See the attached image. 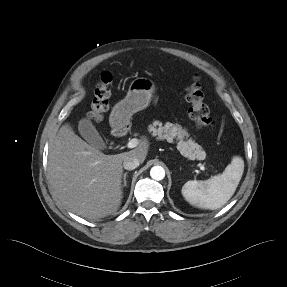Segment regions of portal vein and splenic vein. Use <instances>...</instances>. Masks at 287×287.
<instances>
[{
  "label": "portal vein and splenic vein",
  "mask_w": 287,
  "mask_h": 287,
  "mask_svg": "<svg viewBox=\"0 0 287 287\" xmlns=\"http://www.w3.org/2000/svg\"><path fill=\"white\" fill-rule=\"evenodd\" d=\"M138 144H139V140L137 138H133V139L129 140V142L127 143V148H129V149L135 148L136 146H138ZM199 168L202 171L206 170L205 166L202 164H199Z\"/></svg>",
  "instance_id": "1"
}]
</instances>
